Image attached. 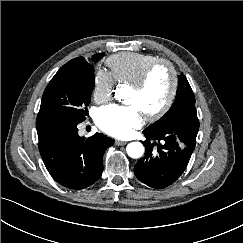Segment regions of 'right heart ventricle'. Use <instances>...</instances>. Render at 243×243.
Here are the masks:
<instances>
[{"label": "right heart ventricle", "instance_id": "1", "mask_svg": "<svg viewBox=\"0 0 243 243\" xmlns=\"http://www.w3.org/2000/svg\"><path fill=\"white\" fill-rule=\"evenodd\" d=\"M156 59V56L150 54L121 52L110 56L106 65L115 82L129 84L146 65Z\"/></svg>", "mask_w": 243, "mask_h": 243}]
</instances>
